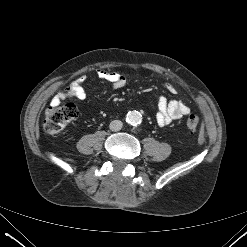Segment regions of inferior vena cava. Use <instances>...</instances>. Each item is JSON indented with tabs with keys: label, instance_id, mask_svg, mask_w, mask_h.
<instances>
[{
	"label": "inferior vena cava",
	"instance_id": "602c4592",
	"mask_svg": "<svg viewBox=\"0 0 247 247\" xmlns=\"http://www.w3.org/2000/svg\"><path fill=\"white\" fill-rule=\"evenodd\" d=\"M122 126L123 123L120 120H113L109 125L110 129L115 132L121 130Z\"/></svg>",
	"mask_w": 247,
	"mask_h": 247
}]
</instances>
